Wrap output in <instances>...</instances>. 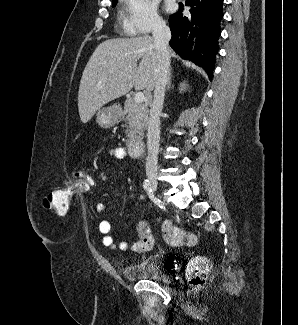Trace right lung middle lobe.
<instances>
[{
  "label": "right lung middle lobe",
  "instance_id": "obj_1",
  "mask_svg": "<svg viewBox=\"0 0 298 325\" xmlns=\"http://www.w3.org/2000/svg\"><path fill=\"white\" fill-rule=\"evenodd\" d=\"M116 3H117V2H114V3H113V6H115V5H116Z\"/></svg>",
  "mask_w": 298,
  "mask_h": 325
}]
</instances>
